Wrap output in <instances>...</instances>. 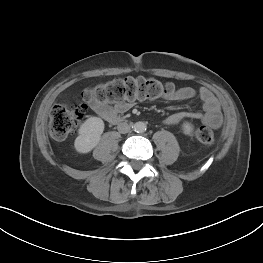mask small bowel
<instances>
[{
  "mask_svg": "<svg viewBox=\"0 0 263 263\" xmlns=\"http://www.w3.org/2000/svg\"><path fill=\"white\" fill-rule=\"evenodd\" d=\"M197 92L192 87H182L175 91L172 95L168 96L170 100H189L196 96ZM198 96L202 101V112L198 111H179L175 112L164 119L166 125H175L182 120L191 118L199 119L213 128L220 127L222 123V114L220 105L214 94L207 88L202 87L198 91ZM89 106L98 115L106 120H111L112 117H117L118 114L126 112L131 106L132 102H125L109 106L99 102H89Z\"/></svg>",
  "mask_w": 263,
  "mask_h": 263,
  "instance_id": "small-bowel-1",
  "label": "small bowel"
}]
</instances>
